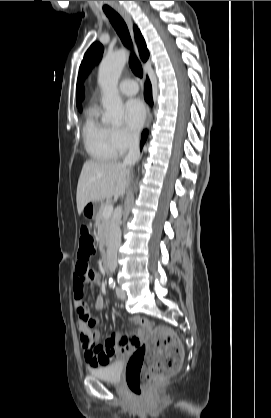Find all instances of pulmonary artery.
Returning <instances> with one entry per match:
<instances>
[{"label": "pulmonary artery", "instance_id": "pulmonary-artery-1", "mask_svg": "<svg viewBox=\"0 0 271 418\" xmlns=\"http://www.w3.org/2000/svg\"><path fill=\"white\" fill-rule=\"evenodd\" d=\"M119 90L125 96H134L138 92V85L132 79H124L119 84Z\"/></svg>", "mask_w": 271, "mask_h": 418}]
</instances>
